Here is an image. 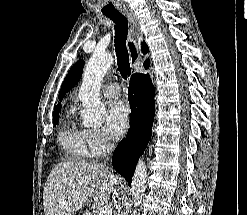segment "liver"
I'll return each mask as SVG.
<instances>
[{"label": "liver", "instance_id": "liver-1", "mask_svg": "<svg viewBox=\"0 0 247 215\" xmlns=\"http://www.w3.org/2000/svg\"><path fill=\"white\" fill-rule=\"evenodd\" d=\"M117 176L95 163L62 162L50 172L43 192L45 215H72L85 203L105 205L115 200ZM116 195V196H115Z\"/></svg>", "mask_w": 247, "mask_h": 215}]
</instances>
